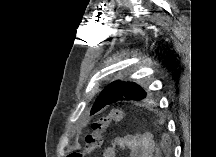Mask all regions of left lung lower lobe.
<instances>
[{
	"label": "left lung lower lobe",
	"mask_w": 216,
	"mask_h": 157,
	"mask_svg": "<svg viewBox=\"0 0 216 157\" xmlns=\"http://www.w3.org/2000/svg\"><path fill=\"white\" fill-rule=\"evenodd\" d=\"M93 107H95L96 109L94 110V112L93 113H96V112H98L99 110H101L103 107L102 106H100L98 103H94V105H93ZM93 113H91V114H93Z\"/></svg>",
	"instance_id": "left-lung-lower-lobe-1"
}]
</instances>
